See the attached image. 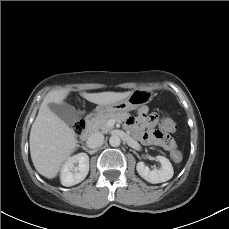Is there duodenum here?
I'll return each instance as SVG.
<instances>
[{"mask_svg":"<svg viewBox=\"0 0 229 229\" xmlns=\"http://www.w3.org/2000/svg\"><path fill=\"white\" fill-rule=\"evenodd\" d=\"M98 119V115L91 113L85 118V129L81 134V140L86 141L95 132V123Z\"/></svg>","mask_w":229,"mask_h":229,"instance_id":"1","label":"duodenum"}]
</instances>
